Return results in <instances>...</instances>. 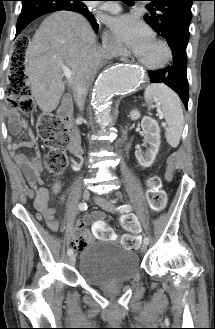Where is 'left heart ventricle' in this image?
Masks as SVG:
<instances>
[{
  "instance_id": "obj_1",
  "label": "left heart ventricle",
  "mask_w": 215,
  "mask_h": 329,
  "mask_svg": "<svg viewBox=\"0 0 215 329\" xmlns=\"http://www.w3.org/2000/svg\"><path fill=\"white\" fill-rule=\"evenodd\" d=\"M138 55L145 62L156 63L162 58L163 52L158 45L152 42L146 49L138 53Z\"/></svg>"
}]
</instances>
